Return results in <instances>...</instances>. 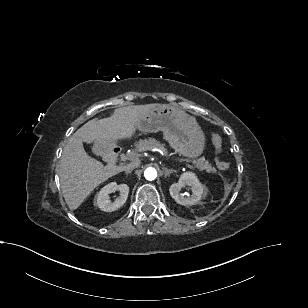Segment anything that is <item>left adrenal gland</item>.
Returning <instances> with one entry per match:
<instances>
[{"label": "left adrenal gland", "mask_w": 308, "mask_h": 308, "mask_svg": "<svg viewBox=\"0 0 308 308\" xmlns=\"http://www.w3.org/2000/svg\"><path fill=\"white\" fill-rule=\"evenodd\" d=\"M163 170H164V175H165V176H168V175H170L171 173L177 172L176 170L167 169V168H163Z\"/></svg>", "instance_id": "1"}]
</instances>
